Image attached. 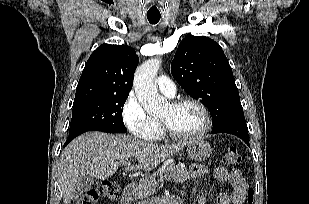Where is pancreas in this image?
Segmentation results:
<instances>
[{"label": "pancreas", "mask_w": 309, "mask_h": 204, "mask_svg": "<svg viewBox=\"0 0 309 204\" xmlns=\"http://www.w3.org/2000/svg\"><path fill=\"white\" fill-rule=\"evenodd\" d=\"M164 172L166 179H172L178 183H183L190 179L187 170L176 165L167 166ZM155 176L156 174H153L150 177L143 178L140 180L139 184L136 185L135 193L137 199H145L156 192L157 182L155 181Z\"/></svg>", "instance_id": "pancreas-1"}]
</instances>
